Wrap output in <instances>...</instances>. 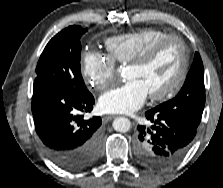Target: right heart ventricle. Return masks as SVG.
<instances>
[{
  "label": "right heart ventricle",
  "instance_id": "1",
  "mask_svg": "<svg viewBox=\"0 0 223 188\" xmlns=\"http://www.w3.org/2000/svg\"><path fill=\"white\" fill-rule=\"evenodd\" d=\"M168 35L156 28H145L135 32L110 37L105 42L109 57L119 65L128 64L147 46Z\"/></svg>",
  "mask_w": 223,
  "mask_h": 188
}]
</instances>
